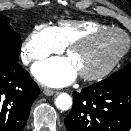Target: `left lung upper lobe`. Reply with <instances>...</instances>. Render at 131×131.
<instances>
[{
    "mask_svg": "<svg viewBox=\"0 0 131 131\" xmlns=\"http://www.w3.org/2000/svg\"><path fill=\"white\" fill-rule=\"evenodd\" d=\"M101 83H128L131 84V63L128 64L124 69H121L105 80L100 81Z\"/></svg>",
    "mask_w": 131,
    "mask_h": 131,
    "instance_id": "left-lung-upper-lobe-1",
    "label": "left lung upper lobe"
}]
</instances>
